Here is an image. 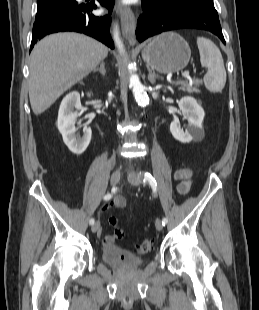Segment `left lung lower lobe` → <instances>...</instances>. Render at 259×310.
I'll list each match as a JSON object with an SVG mask.
<instances>
[{
	"mask_svg": "<svg viewBox=\"0 0 259 310\" xmlns=\"http://www.w3.org/2000/svg\"><path fill=\"white\" fill-rule=\"evenodd\" d=\"M143 14L137 23L139 42L148 37L180 28H197L217 35L225 44L217 11L213 4L192 3L171 9L161 8L150 0H142Z\"/></svg>",
	"mask_w": 259,
	"mask_h": 310,
	"instance_id": "0a47b994",
	"label": "left lung lower lobe"
}]
</instances>
